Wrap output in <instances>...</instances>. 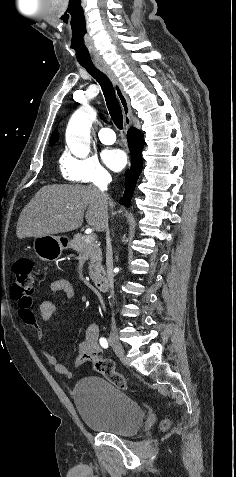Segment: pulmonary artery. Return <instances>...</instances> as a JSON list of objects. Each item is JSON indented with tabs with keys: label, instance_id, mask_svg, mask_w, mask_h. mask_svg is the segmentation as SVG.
I'll return each instance as SVG.
<instances>
[{
	"label": "pulmonary artery",
	"instance_id": "obj_1",
	"mask_svg": "<svg viewBox=\"0 0 236 477\" xmlns=\"http://www.w3.org/2000/svg\"><path fill=\"white\" fill-rule=\"evenodd\" d=\"M99 140L104 144H113L116 140L114 131L110 128H101L98 131Z\"/></svg>",
	"mask_w": 236,
	"mask_h": 477
}]
</instances>
